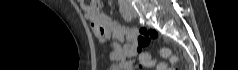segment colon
Wrapping results in <instances>:
<instances>
[{
  "label": "colon",
  "instance_id": "5ec220e1",
  "mask_svg": "<svg viewBox=\"0 0 238 70\" xmlns=\"http://www.w3.org/2000/svg\"><path fill=\"white\" fill-rule=\"evenodd\" d=\"M158 34L156 31L148 28H140L138 30V46L140 49L146 48L152 39L157 38ZM147 54V53H145ZM161 55L165 58H169L171 62L175 63L177 61L176 56L172 53V51L169 48H163L161 50ZM142 63L143 66H153L154 62L149 54H147V57L144 59ZM157 70H171L170 67H168V63H159L156 65Z\"/></svg>",
  "mask_w": 238,
  "mask_h": 70
}]
</instances>
